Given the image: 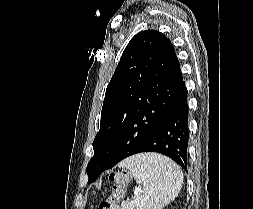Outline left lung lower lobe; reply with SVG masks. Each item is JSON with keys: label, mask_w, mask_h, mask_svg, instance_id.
Instances as JSON below:
<instances>
[{"label": "left lung lower lobe", "mask_w": 253, "mask_h": 209, "mask_svg": "<svg viewBox=\"0 0 253 209\" xmlns=\"http://www.w3.org/2000/svg\"><path fill=\"white\" fill-rule=\"evenodd\" d=\"M188 110L187 89L182 78L168 114L136 153H161L174 160L187 172Z\"/></svg>", "instance_id": "obj_1"}]
</instances>
